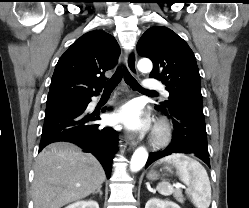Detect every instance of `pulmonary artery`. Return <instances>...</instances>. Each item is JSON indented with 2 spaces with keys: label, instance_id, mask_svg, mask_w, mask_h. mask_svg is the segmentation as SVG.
Instances as JSON below:
<instances>
[{
  "label": "pulmonary artery",
  "instance_id": "1",
  "mask_svg": "<svg viewBox=\"0 0 249 208\" xmlns=\"http://www.w3.org/2000/svg\"><path fill=\"white\" fill-rule=\"evenodd\" d=\"M142 88L146 91L160 90L164 97H168L169 93L164 89V87L154 79L146 78L142 82Z\"/></svg>",
  "mask_w": 249,
  "mask_h": 208
}]
</instances>
